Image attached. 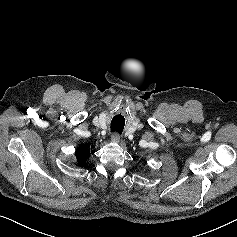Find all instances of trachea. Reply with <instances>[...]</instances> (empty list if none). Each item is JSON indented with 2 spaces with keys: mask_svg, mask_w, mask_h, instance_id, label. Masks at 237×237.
Listing matches in <instances>:
<instances>
[{
  "mask_svg": "<svg viewBox=\"0 0 237 237\" xmlns=\"http://www.w3.org/2000/svg\"><path fill=\"white\" fill-rule=\"evenodd\" d=\"M111 131H112V132H114V131H116V130H114V129H111ZM117 132H119V131H117ZM119 133H120V132H119Z\"/></svg>",
  "mask_w": 237,
  "mask_h": 237,
  "instance_id": "obj_1",
  "label": "trachea"
}]
</instances>
